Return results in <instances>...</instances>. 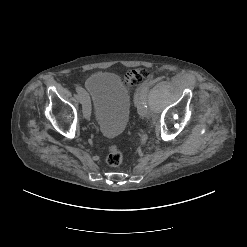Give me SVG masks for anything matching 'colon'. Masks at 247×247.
<instances>
[{
  "mask_svg": "<svg viewBox=\"0 0 247 247\" xmlns=\"http://www.w3.org/2000/svg\"><path fill=\"white\" fill-rule=\"evenodd\" d=\"M148 77V72L145 69L138 68L131 70L125 75V82L130 86H135L141 83ZM106 162L109 166L116 167L123 162V152L117 144H112L106 157Z\"/></svg>",
  "mask_w": 247,
  "mask_h": 247,
  "instance_id": "obj_1",
  "label": "colon"
}]
</instances>
